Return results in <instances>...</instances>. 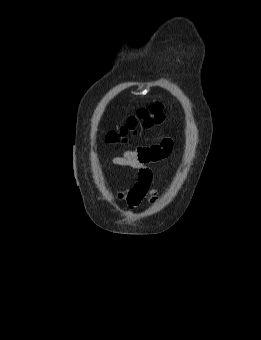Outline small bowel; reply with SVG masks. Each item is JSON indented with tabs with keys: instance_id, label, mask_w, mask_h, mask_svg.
I'll use <instances>...</instances> for the list:
<instances>
[{
	"instance_id": "obj_1",
	"label": "small bowel",
	"mask_w": 261,
	"mask_h": 340,
	"mask_svg": "<svg viewBox=\"0 0 261 340\" xmlns=\"http://www.w3.org/2000/svg\"><path fill=\"white\" fill-rule=\"evenodd\" d=\"M173 149V141L169 137L160 143L141 146L136 149H126L112 162L118 166L130 167L138 171L136 183L129 189L117 194V199L123 200L130 209L136 208L143 200L155 202L157 192L151 189L152 170L150 164L167 158Z\"/></svg>"
}]
</instances>
